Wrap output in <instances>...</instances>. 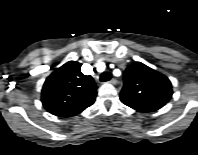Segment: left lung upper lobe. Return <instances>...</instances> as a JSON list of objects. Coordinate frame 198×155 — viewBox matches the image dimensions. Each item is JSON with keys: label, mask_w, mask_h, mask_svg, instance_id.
<instances>
[{"label": "left lung upper lobe", "mask_w": 198, "mask_h": 155, "mask_svg": "<svg viewBox=\"0 0 198 155\" xmlns=\"http://www.w3.org/2000/svg\"><path fill=\"white\" fill-rule=\"evenodd\" d=\"M172 97V85L163 74L141 62L127 67L121 101L137 111H155Z\"/></svg>", "instance_id": "1"}]
</instances>
